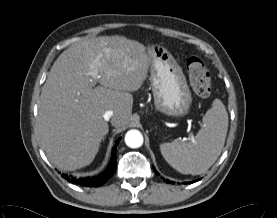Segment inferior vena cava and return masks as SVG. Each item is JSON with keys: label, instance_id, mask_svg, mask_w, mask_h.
Instances as JSON below:
<instances>
[{"label": "inferior vena cava", "instance_id": "inferior-vena-cava-1", "mask_svg": "<svg viewBox=\"0 0 277 218\" xmlns=\"http://www.w3.org/2000/svg\"><path fill=\"white\" fill-rule=\"evenodd\" d=\"M112 117H113V111L112 110H107L103 115V118L106 121H109Z\"/></svg>", "mask_w": 277, "mask_h": 218}]
</instances>
